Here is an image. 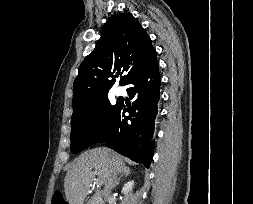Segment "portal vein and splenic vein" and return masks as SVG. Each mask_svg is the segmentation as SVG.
<instances>
[{
  "instance_id": "1",
  "label": "portal vein and splenic vein",
  "mask_w": 253,
  "mask_h": 204,
  "mask_svg": "<svg viewBox=\"0 0 253 204\" xmlns=\"http://www.w3.org/2000/svg\"><path fill=\"white\" fill-rule=\"evenodd\" d=\"M95 183L97 184V186H100L102 184V182L99 179H97Z\"/></svg>"
}]
</instances>
